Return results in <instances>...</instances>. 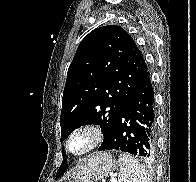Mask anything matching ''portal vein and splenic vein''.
Returning <instances> with one entry per match:
<instances>
[{"label":"portal vein and splenic vein","mask_w":196,"mask_h":182,"mask_svg":"<svg viewBox=\"0 0 196 182\" xmlns=\"http://www.w3.org/2000/svg\"><path fill=\"white\" fill-rule=\"evenodd\" d=\"M111 182H115V179L113 177L111 178Z\"/></svg>","instance_id":"obj_1"}]
</instances>
